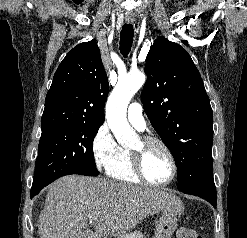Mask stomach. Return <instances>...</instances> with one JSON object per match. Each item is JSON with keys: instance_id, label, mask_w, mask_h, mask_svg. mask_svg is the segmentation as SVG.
Here are the masks:
<instances>
[{"instance_id": "0dacf381", "label": "stomach", "mask_w": 247, "mask_h": 238, "mask_svg": "<svg viewBox=\"0 0 247 238\" xmlns=\"http://www.w3.org/2000/svg\"><path fill=\"white\" fill-rule=\"evenodd\" d=\"M176 228V216L172 212L164 211L157 222L154 238H171Z\"/></svg>"}]
</instances>
